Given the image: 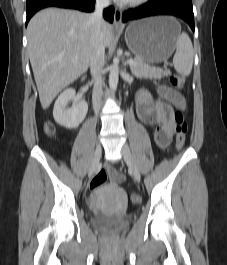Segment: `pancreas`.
Here are the masks:
<instances>
[{
  "label": "pancreas",
  "mask_w": 227,
  "mask_h": 265,
  "mask_svg": "<svg viewBox=\"0 0 227 265\" xmlns=\"http://www.w3.org/2000/svg\"><path fill=\"white\" fill-rule=\"evenodd\" d=\"M135 65H131V72L138 78H154L161 79L164 76L170 75L169 70H163L152 67L138 58L134 59Z\"/></svg>",
  "instance_id": "1"
}]
</instances>
